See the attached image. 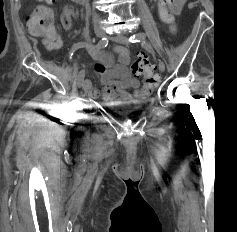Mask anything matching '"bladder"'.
Here are the masks:
<instances>
[{"mask_svg": "<svg viewBox=\"0 0 237 232\" xmlns=\"http://www.w3.org/2000/svg\"><path fill=\"white\" fill-rule=\"evenodd\" d=\"M145 101H146V99H142L139 101H131L130 100L124 104L112 103V104L108 105V108L115 113L135 111V110L139 109L140 107H142V105Z\"/></svg>", "mask_w": 237, "mask_h": 232, "instance_id": "obj_1", "label": "bladder"}]
</instances>
